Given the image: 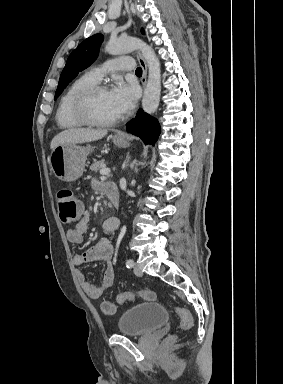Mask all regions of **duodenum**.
<instances>
[{
	"mask_svg": "<svg viewBox=\"0 0 283 384\" xmlns=\"http://www.w3.org/2000/svg\"><path fill=\"white\" fill-rule=\"evenodd\" d=\"M103 191L111 201L113 208L118 209L120 206V198L117 186L113 183H107L104 185Z\"/></svg>",
	"mask_w": 283,
	"mask_h": 384,
	"instance_id": "410a0bca",
	"label": "duodenum"
}]
</instances>
